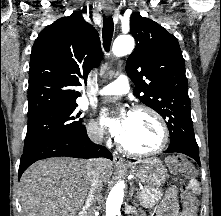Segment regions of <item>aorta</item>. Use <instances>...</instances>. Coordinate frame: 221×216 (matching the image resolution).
Returning <instances> with one entry per match:
<instances>
[{"label": "aorta", "mask_w": 221, "mask_h": 216, "mask_svg": "<svg viewBox=\"0 0 221 216\" xmlns=\"http://www.w3.org/2000/svg\"><path fill=\"white\" fill-rule=\"evenodd\" d=\"M134 38L130 35L118 36L112 47L113 54L117 57L125 56L134 49ZM124 197V184H116L110 191L106 200V216H117L120 214V208Z\"/></svg>", "instance_id": "1"}]
</instances>
